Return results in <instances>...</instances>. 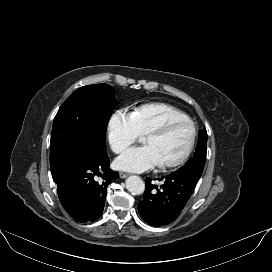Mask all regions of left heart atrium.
<instances>
[{"instance_id": "obj_1", "label": "left heart atrium", "mask_w": 272, "mask_h": 272, "mask_svg": "<svg viewBox=\"0 0 272 272\" xmlns=\"http://www.w3.org/2000/svg\"><path fill=\"white\" fill-rule=\"evenodd\" d=\"M160 164L159 155L150 145L131 147L115 160L118 169L128 172H144Z\"/></svg>"}]
</instances>
